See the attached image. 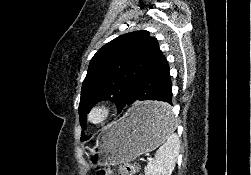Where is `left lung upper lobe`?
<instances>
[{
    "mask_svg": "<svg viewBox=\"0 0 251 175\" xmlns=\"http://www.w3.org/2000/svg\"><path fill=\"white\" fill-rule=\"evenodd\" d=\"M158 40L148 31L121 35L100 48L90 61L82 83L79 119L85 129L86 115L100 100L120 106L128 100L137 82L162 58ZM84 132L81 140H87Z\"/></svg>",
    "mask_w": 251,
    "mask_h": 175,
    "instance_id": "1",
    "label": "left lung upper lobe"
}]
</instances>
